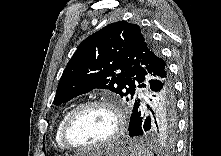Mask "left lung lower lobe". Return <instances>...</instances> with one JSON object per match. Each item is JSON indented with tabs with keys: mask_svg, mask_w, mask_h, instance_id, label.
<instances>
[{
	"mask_svg": "<svg viewBox=\"0 0 221 156\" xmlns=\"http://www.w3.org/2000/svg\"><path fill=\"white\" fill-rule=\"evenodd\" d=\"M176 119V96L168 67L150 73L143 94L134 102L129 136L173 137Z\"/></svg>",
	"mask_w": 221,
	"mask_h": 156,
	"instance_id": "left-lung-lower-lobe-1",
	"label": "left lung lower lobe"
}]
</instances>
